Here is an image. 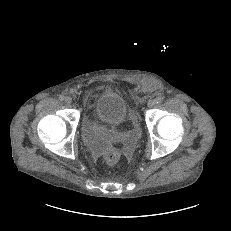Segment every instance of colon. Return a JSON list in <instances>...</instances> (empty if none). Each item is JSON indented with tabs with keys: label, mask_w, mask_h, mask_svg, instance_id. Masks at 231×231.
<instances>
[{
	"label": "colon",
	"mask_w": 231,
	"mask_h": 231,
	"mask_svg": "<svg viewBox=\"0 0 231 231\" xmlns=\"http://www.w3.org/2000/svg\"><path fill=\"white\" fill-rule=\"evenodd\" d=\"M154 86L150 81H147L143 84V88L146 89L148 87ZM133 118L136 120V117L133 115ZM121 158L120 151L116 148L109 149L105 155L104 159L108 164H116Z\"/></svg>",
	"instance_id": "5ec220e1"
}]
</instances>
